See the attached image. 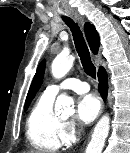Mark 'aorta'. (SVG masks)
<instances>
[{
    "label": "aorta",
    "instance_id": "obj_1",
    "mask_svg": "<svg viewBox=\"0 0 130 153\" xmlns=\"http://www.w3.org/2000/svg\"><path fill=\"white\" fill-rule=\"evenodd\" d=\"M74 57L66 53H60L53 61L51 69L52 75L57 78H63L72 68ZM55 111L59 113L71 114L74 111L73 99L66 95L60 94L55 103ZM110 129V118L105 114L96 124L91 141L89 142L86 153H101L104 147L105 140Z\"/></svg>",
    "mask_w": 130,
    "mask_h": 153
}]
</instances>
